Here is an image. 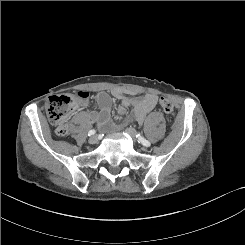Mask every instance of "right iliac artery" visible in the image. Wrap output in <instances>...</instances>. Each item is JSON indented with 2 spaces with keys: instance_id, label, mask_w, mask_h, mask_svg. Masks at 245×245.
I'll use <instances>...</instances> for the list:
<instances>
[{
  "instance_id": "82829eb1",
  "label": "right iliac artery",
  "mask_w": 245,
  "mask_h": 245,
  "mask_svg": "<svg viewBox=\"0 0 245 245\" xmlns=\"http://www.w3.org/2000/svg\"><path fill=\"white\" fill-rule=\"evenodd\" d=\"M95 133H96L95 130H90V131L88 132V135L91 136V135H94Z\"/></svg>"
}]
</instances>
